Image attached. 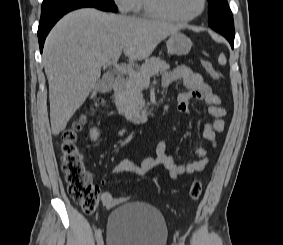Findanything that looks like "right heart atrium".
<instances>
[{
  "label": "right heart atrium",
  "mask_w": 283,
  "mask_h": 245,
  "mask_svg": "<svg viewBox=\"0 0 283 245\" xmlns=\"http://www.w3.org/2000/svg\"><path fill=\"white\" fill-rule=\"evenodd\" d=\"M113 2L121 12L127 13L132 10L134 0H113Z\"/></svg>",
  "instance_id": "obj_1"
}]
</instances>
